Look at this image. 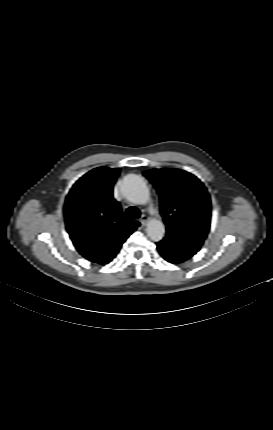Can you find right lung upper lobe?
<instances>
[{"instance_id":"obj_1","label":"right lung upper lobe","mask_w":273,"mask_h":430,"mask_svg":"<svg viewBox=\"0 0 273 430\" xmlns=\"http://www.w3.org/2000/svg\"><path fill=\"white\" fill-rule=\"evenodd\" d=\"M119 168L99 167L81 177L66 197V229L78 252L89 261L104 264L140 225L126 222L113 185Z\"/></svg>"}]
</instances>
